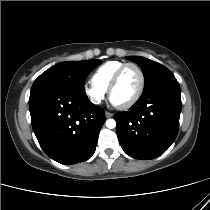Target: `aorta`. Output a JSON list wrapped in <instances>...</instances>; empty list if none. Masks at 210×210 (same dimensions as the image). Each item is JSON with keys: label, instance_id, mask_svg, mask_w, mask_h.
Listing matches in <instances>:
<instances>
[{"label": "aorta", "instance_id": "762f6f07", "mask_svg": "<svg viewBox=\"0 0 210 210\" xmlns=\"http://www.w3.org/2000/svg\"><path fill=\"white\" fill-rule=\"evenodd\" d=\"M106 127L109 129H113L116 127V121L114 119H108L106 121Z\"/></svg>", "mask_w": 210, "mask_h": 210}]
</instances>
